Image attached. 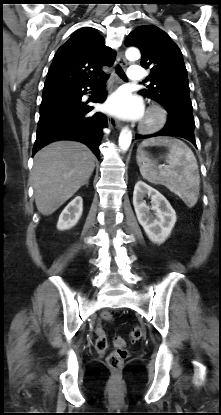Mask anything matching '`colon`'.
Returning <instances> with one entry per match:
<instances>
[{
  "label": "colon",
  "mask_w": 221,
  "mask_h": 415,
  "mask_svg": "<svg viewBox=\"0 0 221 415\" xmlns=\"http://www.w3.org/2000/svg\"><path fill=\"white\" fill-rule=\"evenodd\" d=\"M101 318L106 321H110L112 320V314L109 312H103L101 314ZM94 331L96 334L95 348L98 351L103 352L108 348V340L106 334L100 325H96ZM143 333V329L140 326L134 327L130 333L131 341L136 342L140 340L143 336ZM114 346L115 350L108 355L107 363L111 369L119 370L128 357L125 339L121 336H116L114 338Z\"/></svg>",
  "instance_id": "1"
}]
</instances>
